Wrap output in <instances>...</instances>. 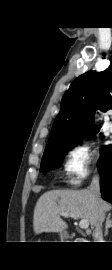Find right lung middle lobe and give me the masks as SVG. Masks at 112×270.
Returning a JSON list of instances; mask_svg holds the SVG:
<instances>
[{"mask_svg":"<svg viewBox=\"0 0 112 270\" xmlns=\"http://www.w3.org/2000/svg\"><path fill=\"white\" fill-rule=\"evenodd\" d=\"M91 133L93 134L94 132L92 131ZM82 137L83 136L77 139H74L72 141L64 142V143L47 145L44 151L43 157H42L40 169L43 171H48V170L60 167V163H61L60 160L62 159L63 155L66 152H68L70 149L75 147L77 142H79ZM111 147L112 145H110L109 147L102 148V153L98 162V166L101 164L106 153Z\"/></svg>","mask_w":112,"mask_h":270,"instance_id":"dd1d6c3e","label":"right lung middle lobe"}]
</instances>
